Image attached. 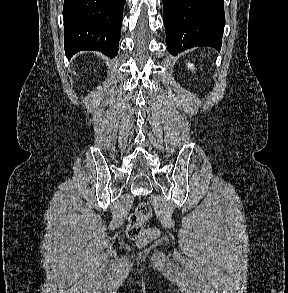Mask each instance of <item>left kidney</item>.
Segmentation results:
<instances>
[{"mask_svg":"<svg viewBox=\"0 0 288 293\" xmlns=\"http://www.w3.org/2000/svg\"><path fill=\"white\" fill-rule=\"evenodd\" d=\"M188 69L194 71L195 70L194 65L191 63H188Z\"/></svg>","mask_w":288,"mask_h":293,"instance_id":"left-kidney-1","label":"left kidney"}]
</instances>
